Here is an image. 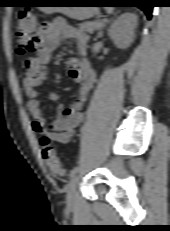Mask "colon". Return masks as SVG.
<instances>
[{
    "label": "colon",
    "mask_w": 170,
    "mask_h": 231,
    "mask_svg": "<svg viewBox=\"0 0 170 231\" xmlns=\"http://www.w3.org/2000/svg\"><path fill=\"white\" fill-rule=\"evenodd\" d=\"M37 22L29 9H22L17 15L16 33L18 36L19 55L31 53L37 49L38 37L36 35ZM40 150L48 170L55 176H62L64 169L51 143L50 137L43 135L40 139Z\"/></svg>",
    "instance_id": "obj_1"
}]
</instances>
